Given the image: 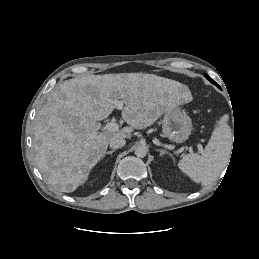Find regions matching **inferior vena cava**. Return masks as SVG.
<instances>
[{"mask_svg": "<svg viewBox=\"0 0 259 259\" xmlns=\"http://www.w3.org/2000/svg\"><path fill=\"white\" fill-rule=\"evenodd\" d=\"M109 144L111 148L118 149L122 148L126 144V141L124 138H112L110 139Z\"/></svg>", "mask_w": 259, "mask_h": 259, "instance_id": "inferior-vena-cava-1", "label": "inferior vena cava"}]
</instances>
